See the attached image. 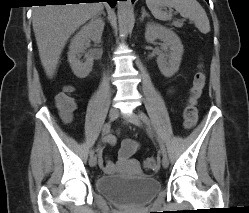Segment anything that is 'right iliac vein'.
I'll use <instances>...</instances> for the list:
<instances>
[{
    "mask_svg": "<svg viewBox=\"0 0 249 213\" xmlns=\"http://www.w3.org/2000/svg\"><path fill=\"white\" fill-rule=\"evenodd\" d=\"M118 115H119V112H118L117 108L112 107L109 111L110 121H114L115 119H117ZM96 162H97L96 156H94V155L91 156L89 159V165L91 167H94L96 165Z\"/></svg>",
    "mask_w": 249,
    "mask_h": 213,
    "instance_id": "obj_1",
    "label": "right iliac vein"
}]
</instances>
